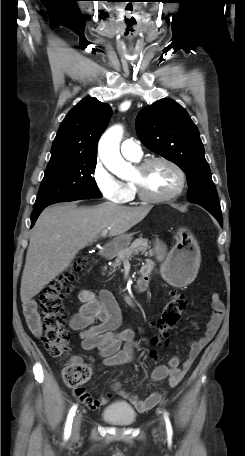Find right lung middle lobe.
Masks as SVG:
<instances>
[{"instance_id": "obj_1", "label": "right lung middle lobe", "mask_w": 245, "mask_h": 456, "mask_svg": "<svg viewBox=\"0 0 245 456\" xmlns=\"http://www.w3.org/2000/svg\"><path fill=\"white\" fill-rule=\"evenodd\" d=\"M97 157L68 158L48 163L33 209L75 199L101 198L92 177Z\"/></svg>"}]
</instances>
